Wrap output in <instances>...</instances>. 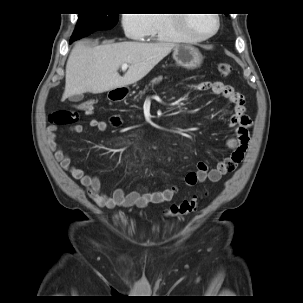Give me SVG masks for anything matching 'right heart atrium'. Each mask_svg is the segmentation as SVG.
<instances>
[{
	"label": "right heart atrium",
	"mask_w": 303,
	"mask_h": 303,
	"mask_svg": "<svg viewBox=\"0 0 303 303\" xmlns=\"http://www.w3.org/2000/svg\"><path fill=\"white\" fill-rule=\"evenodd\" d=\"M122 26L129 39H142L149 31L150 16L149 14H124Z\"/></svg>",
	"instance_id": "right-heart-atrium-1"
}]
</instances>
